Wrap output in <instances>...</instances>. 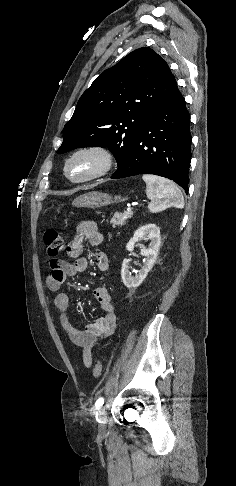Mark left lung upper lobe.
Returning <instances> with one entry per match:
<instances>
[{"label":"left lung upper lobe","mask_w":236,"mask_h":486,"mask_svg":"<svg viewBox=\"0 0 236 486\" xmlns=\"http://www.w3.org/2000/svg\"><path fill=\"white\" fill-rule=\"evenodd\" d=\"M177 83L167 63L143 47L104 71L80 97L57 153L108 147L118 165L136 136Z\"/></svg>","instance_id":"5c2ea615"}]
</instances>
